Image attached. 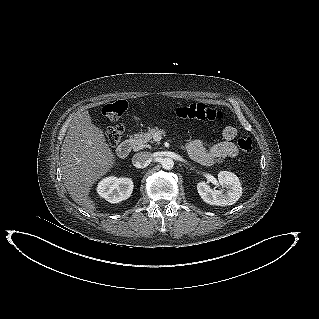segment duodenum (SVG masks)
Segmentation results:
<instances>
[{
  "instance_id": "1",
  "label": "duodenum",
  "mask_w": 319,
  "mask_h": 319,
  "mask_svg": "<svg viewBox=\"0 0 319 319\" xmlns=\"http://www.w3.org/2000/svg\"><path fill=\"white\" fill-rule=\"evenodd\" d=\"M131 151V143L128 140L123 141L120 143L116 149V153L118 157L125 158L129 155Z\"/></svg>"
}]
</instances>
